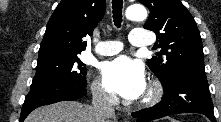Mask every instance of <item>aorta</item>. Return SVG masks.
<instances>
[{"mask_svg":"<svg viewBox=\"0 0 221 122\" xmlns=\"http://www.w3.org/2000/svg\"><path fill=\"white\" fill-rule=\"evenodd\" d=\"M147 17V11L141 4H133L126 10V18L131 21H143Z\"/></svg>","mask_w":221,"mask_h":122,"instance_id":"1","label":"aorta"}]
</instances>
